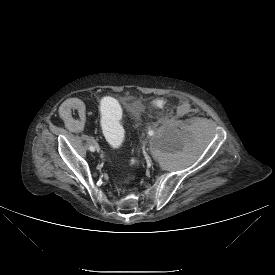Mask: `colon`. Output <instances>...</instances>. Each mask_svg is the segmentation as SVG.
Returning <instances> with one entry per match:
<instances>
[{
  "label": "colon",
  "mask_w": 275,
  "mask_h": 275,
  "mask_svg": "<svg viewBox=\"0 0 275 275\" xmlns=\"http://www.w3.org/2000/svg\"><path fill=\"white\" fill-rule=\"evenodd\" d=\"M163 98H156L153 105L160 108L164 105ZM100 110L103 114L102 126L108 143L113 146H119L123 140L122 127L119 121L120 107L111 95H104L99 102Z\"/></svg>",
  "instance_id": "obj_1"
}]
</instances>
